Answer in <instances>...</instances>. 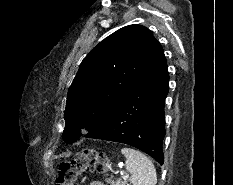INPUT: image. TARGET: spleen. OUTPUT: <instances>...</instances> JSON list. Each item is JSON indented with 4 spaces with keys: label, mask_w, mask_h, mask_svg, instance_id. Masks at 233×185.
Instances as JSON below:
<instances>
[{
    "label": "spleen",
    "mask_w": 233,
    "mask_h": 185,
    "mask_svg": "<svg viewBox=\"0 0 233 185\" xmlns=\"http://www.w3.org/2000/svg\"><path fill=\"white\" fill-rule=\"evenodd\" d=\"M121 153L126 157V169L131 172L133 185H156V169L145 154L132 148H122Z\"/></svg>",
    "instance_id": "obj_1"
}]
</instances>
